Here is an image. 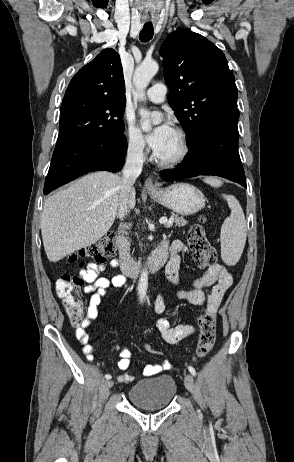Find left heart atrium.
I'll use <instances>...</instances> for the list:
<instances>
[{"instance_id":"left-heart-atrium-1","label":"left heart atrium","mask_w":294,"mask_h":462,"mask_svg":"<svg viewBox=\"0 0 294 462\" xmlns=\"http://www.w3.org/2000/svg\"><path fill=\"white\" fill-rule=\"evenodd\" d=\"M174 132V128L168 121H164L150 130L147 135V141L155 152V155H158L162 152L165 144L171 138Z\"/></svg>"}]
</instances>
